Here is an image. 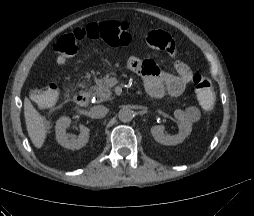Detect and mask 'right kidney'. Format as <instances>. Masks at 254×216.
<instances>
[{
    "instance_id": "right-kidney-1",
    "label": "right kidney",
    "mask_w": 254,
    "mask_h": 216,
    "mask_svg": "<svg viewBox=\"0 0 254 216\" xmlns=\"http://www.w3.org/2000/svg\"><path fill=\"white\" fill-rule=\"evenodd\" d=\"M71 125V119L61 117L56 122V140L64 148L75 150L86 145L89 140V128L79 125L80 134L78 136H70L66 134L67 128Z\"/></svg>"
}]
</instances>
